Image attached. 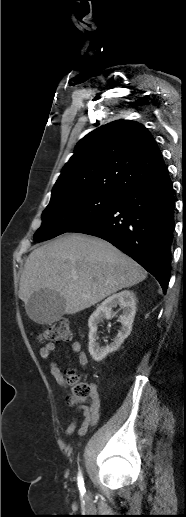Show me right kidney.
Returning a JSON list of instances; mask_svg holds the SVG:
<instances>
[{
    "label": "right kidney",
    "instance_id": "1",
    "mask_svg": "<svg viewBox=\"0 0 186 517\" xmlns=\"http://www.w3.org/2000/svg\"><path fill=\"white\" fill-rule=\"evenodd\" d=\"M136 296L133 291L124 290L117 294H113L97 307L88 320L89 326V353L92 358L99 362L103 360L109 353L116 351L123 341L130 335L132 324L136 313ZM117 306L122 309L119 316L121 322V330L118 332L114 341L105 347H101L98 343L97 329L98 324L104 319H110L113 315V308Z\"/></svg>",
    "mask_w": 186,
    "mask_h": 517
}]
</instances>
